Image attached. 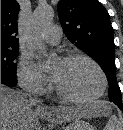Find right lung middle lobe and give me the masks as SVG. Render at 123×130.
<instances>
[{
    "instance_id": "obj_1",
    "label": "right lung middle lobe",
    "mask_w": 123,
    "mask_h": 130,
    "mask_svg": "<svg viewBox=\"0 0 123 130\" xmlns=\"http://www.w3.org/2000/svg\"><path fill=\"white\" fill-rule=\"evenodd\" d=\"M19 48L1 47V77L16 80V67L14 62L18 56Z\"/></svg>"
}]
</instances>
